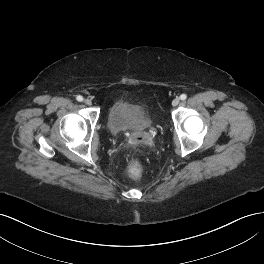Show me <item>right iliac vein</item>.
Here are the masks:
<instances>
[{
    "mask_svg": "<svg viewBox=\"0 0 264 264\" xmlns=\"http://www.w3.org/2000/svg\"><path fill=\"white\" fill-rule=\"evenodd\" d=\"M84 103H85L86 105H91V104H92V101H91V99L86 98V99H84Z\"/></svg>",
    "mask_w": 264,
    "mask_h": 264,
    "instance_id": "obj_1",
    "label": "right iliac vein"
}]
</instances>
